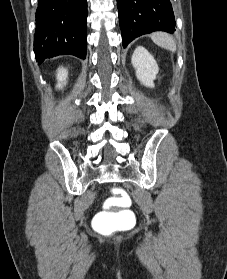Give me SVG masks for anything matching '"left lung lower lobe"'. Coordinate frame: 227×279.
I'll list each match as a JSON object with an SVG mask.
<instances>
[{"label":"left lung lower lobe","instance_id":"1","mask_svg":"<svg viewBox=\"0 0 227 279\" xmlns=\"http://www.w3.org/2000/svg\"><path fill=\"white\" fill-rule=\"evenodd\" d=\"M117 5L124 48L143 34L175 30L170 0H117Z\"/></svg>","mask_w":227,"mask_h":279}]
</instances>
